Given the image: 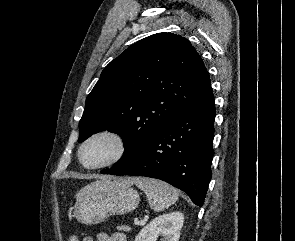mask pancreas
Here are the masks:
<instances>
[{
	"mask_svg": "<svg viewBox=\"0 0 295 241\" xmlns=\"http://www.w3.org/2000/svg\"><path fill=\"white\" fill-rule=\"evenodd\" d=\"M117 229L118 230H123V231H129L130 230V227L125 226V225H121V226H118Z\"/></svg>",
	"mask_w": 295,
	"mask_h": 241,
	"instance_id": "pancreas-1",
	"label": "pancreas"
}]
</instances>
